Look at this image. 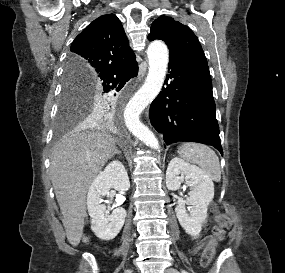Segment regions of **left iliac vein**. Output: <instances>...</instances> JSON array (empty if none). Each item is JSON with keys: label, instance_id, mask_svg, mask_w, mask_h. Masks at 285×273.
Returning <instances> with one entry per match:
<instances>
[{"label": "left iliac vein", "instance_id": "1", "mask_svg": "<svg viewBox=\"0 0 285 273\" xmlns=\"http://www.w3.org/2000/svg\"><path fill=\"white\" fill-rule=\"evenodd\" d=\"M165 273H180V272L175 268H168L166 269Z\"/></svg>", "mask_w": 285, "mask_h": 273}]
</instances>
